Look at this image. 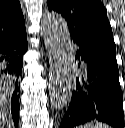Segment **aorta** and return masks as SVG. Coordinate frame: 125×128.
<instances>
[{"label":"aorta","instance_id":"762f6f07","mask_svg":"<svg viewBox=\"0 0 125 128\" xmlns=\"http://www.w3.org/2000/svg\"><path fill=\"white\" fill-rule=\"evenodd\" d=\"M41 31L49 55V95L51 107H66L75 86L76 65L66 21L56 13L46 14Z\"/></svg>","mask_w":125,"mask_h":128}]
</instances>
